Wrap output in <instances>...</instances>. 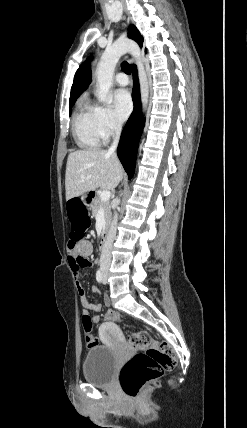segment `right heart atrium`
I'll return each instance as SVG.
<instances>
[{"label": "right heart atrium", "instance_id": "obj_1", "mask_svg": "<svg viewBox=\"0 0 247 428\" xmlns=\"http://www.w3.org/2000/svg\"><path fill=\"white\" fill-rule=\"evenodd\" d=\"M96 122L100 137L104 141L117 134L121 129V124L112 111L104 106L96 107Z\"/></svg>", "mask_w": 247, "mask_h": 428}]
</instances>
